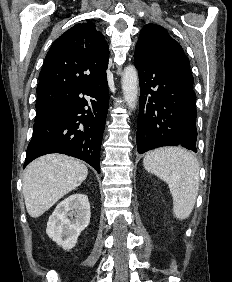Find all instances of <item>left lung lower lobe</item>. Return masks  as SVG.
I'll list each match as a JSON object with an SVG mask.
<instances>
[{"label":"left lung lower lobe","mask_w":232,"mask_h":282,"mask_svg":"<svg viewBox=\"0 0 232 282\" xmlns=\"http://www.w3.org/2000/svg\"><path fill=\"white\" fill-rule=\"evenodd\" d=\"M139 73L140 102L137 124L139 154L162 146L196 149V95L187 57L134 55Z\"/></svg>","instance_id":"obj_1"}]
</instances>
